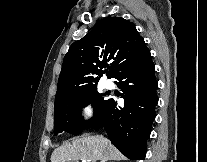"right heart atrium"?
Masks as SVG:
<instances>
[{"label":"right heart atrium","mask_w":207,"mask_h":162,"mask_svg":"<svg viewBox=\"0 0 207 162\" xmlns=\"http://www.w3.org/2000/svg\"><path fill=\"white\" fill-rule=\"evenodd\" d=\"M95 117V109L91 103H86L81 108L82 122L87 124L91 122Z\"/></svg>","instance_id":"right-heart-atrium-1"}]
</instances>
